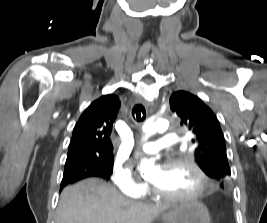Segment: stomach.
Listing matches in <instances>:
<instances>
[{"mask_svg":"<svg viewBox=\"0 0 267 223\" xmlns=\"http://www.w3.org/2000/svg\"><path fill=\"white\" fill-rule=\"evenodd\" d=\"M164 223H210L207 207L198 201H183L163 214Z\"/></svg>","mask_w":267,"mask_h":223,"instance_id":"0dacf381","label":"stomach"}]
</instances>
